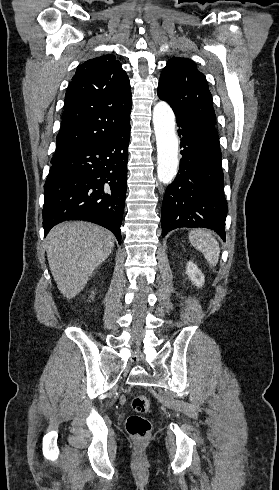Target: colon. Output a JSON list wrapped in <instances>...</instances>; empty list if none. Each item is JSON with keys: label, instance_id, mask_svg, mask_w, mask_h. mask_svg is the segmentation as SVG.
Segmentation results:
<instances>
[{"label": "colon", "instance_id": "1", "mask_svg": "<svg viewBox=\"0 0 279 490\" xmlns=\"http://www.w3.org/2000/svg\"><path fill=\"white\" fill-rule=\"evenodd\" d=\"M150 399L145 395L135 396L132 399V410L126 421L127 433L132 442H149L151 422L144 415L149 411Z\"/></svg>", "mask_w": 279, "mask_h": 490}]
</instances>
